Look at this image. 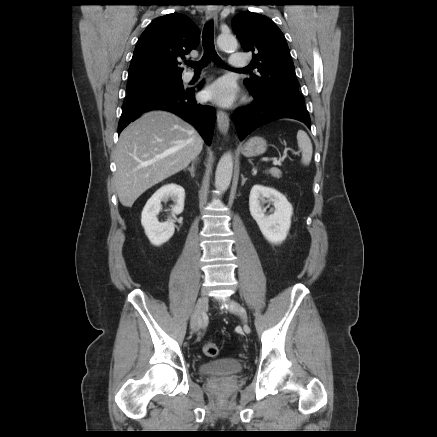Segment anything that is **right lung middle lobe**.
I'll list each match as a JSON object with an SVG mask.
<instances>
[{"mask_svg":"<svg viewBox=\"0 0 437 437\" xmlns=\"http://www.w3.org/2000/svg\"><path fill=\"white\" fill-rule=\"evenodd\" d=\"M183 89L181 76L149 75L130 77L127 87V100L144 95Z\"/></svg>","mask_w":437,"mask_h":437,"instance_id":"obj_1","label":"right lung middle lobe"}]
</instances>
